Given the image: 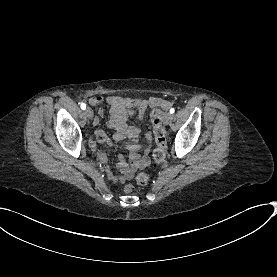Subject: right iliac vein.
<instances>
[{"mask_svg": "<svg viewBox=\"0 0 277 277\" xmlns=\"http://www.w3.org/2000/svg\"><path fill=\"white\" fill-rule=\"evenodd\" d=\"M85 114L86 116L89 118V119H92L93 118V110L91 108H87L85 110Z\"/></svg>", "mask_w": 277, "mask_h": 277, "instance_id": "right-iliac-vein-1", "label": "right iliac vein"}]
</instances>
